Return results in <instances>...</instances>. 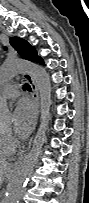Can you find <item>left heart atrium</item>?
I'll return each instance as SVG.
<instances>
[{"mask_svg": "<svg viewBox=\"0 0 89 203\" xmlns=\"http://www.w3.org/2000/svg\"><path fill=\"white\" fill-rule=\"evenodd\" d=\"M16 134L24 138L32 130L35 122V109L27 100H21L14 111Z\"/></svg>", "mask_w": 89, "mask_h": 203, "instance_id": "obj_1", "label": "left heart atrium"}]
</instances>
